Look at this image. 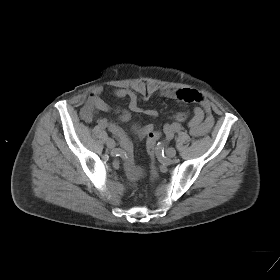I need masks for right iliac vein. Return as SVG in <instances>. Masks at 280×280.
Instances as JSON below:
<instances>
[{"label":"right iliac vein","mask_w":280,"mask_h":280,"mask_svg":"<svg viewBox=\"0 0 280 280\" xmlns=\"http://www.w3.org/2000/svg\"><path fill=\"white\" fill-rule=\"evenodd\" d=\"M106 145L109 149H113L116 146V143L113 139L109 138L106 142Z\"/></svg>","instance_id":"63e3f726"}]
</instances>
